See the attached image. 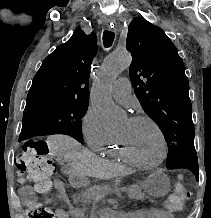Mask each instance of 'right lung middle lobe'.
I'll return each mask as SVG.
<instances>
[{
  "instance_id": "obj_1",
  "label": "right lung middle lobe",
  "mask_w": 211,
  "mask_h": 218,
  "mask_svg": "<svg viewBox=\"0 0 211 218\" xmlns=\"http://www.w3.org/2000/svg\"><path fill=\"white\" fill-rule=\"evenodd\" d=\"M87 102L71 100H41L26 103L21 135L29 138L49 134H67L84 143L81 118Z\"/></svg>"
}]
</instances>
